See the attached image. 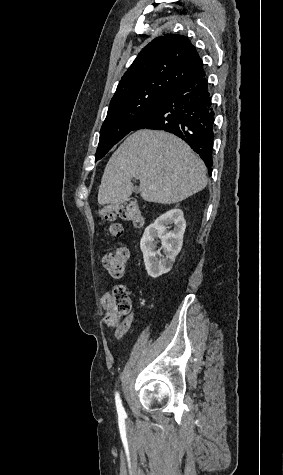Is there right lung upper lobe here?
<instances>
[{
    "instance_id": "1",
    "label": "right lung upper lobe",
    "mask_w": 283,
    "mask_h": 475,
    "mask_svg": "<svg viewBox=\"0 0 283 475\" xmlns=\"http://www.w3.org/2000/svg\"><path fill=\"white\" fill-rule=\"evenodd\" d=\"M196 48L183 35L157 37L138 54L125 72L110 104L148 92L171 91L177 85L205 76Z\"/></svg>"
}]
</instances>
